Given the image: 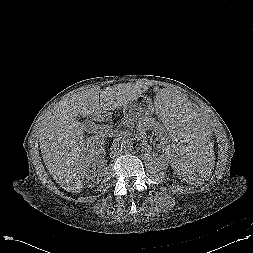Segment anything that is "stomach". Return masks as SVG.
Instances as JSON below:
<instances>
[{
	"label": "stomach",
	"instance_id": "stomach-1",
	"mask_svg": "<svg viewBox=\"0 0 253 253\" xmlns=\"http://www.w3.org/2000/svg\"><path fill=\"white\" fill-rule=\"evenodd\" d=\"M151 99L140 96L133 102L123 106L124 117L131 121H141L150 117L154 112Z\"/></svg>",
	"mask_w": 253,
	"mask_h": 253
}]
</instances>
